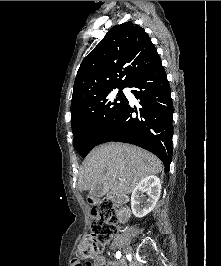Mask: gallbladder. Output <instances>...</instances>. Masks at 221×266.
<instances>
[{"label": "gallbladder", "mask_w": 221, "mask_h": 266, "mask_svg": "<svg viewBox=\"0 0 221 266\" xmlns=\"http://www.w3.org/2000/svg\"><path fill=\"white\" fill-rule=\"evenodd\" d=\"M105 193L106 192L102 184H98L96 187L89 191L90 196L95 199L102 197Z\"/></svg>", "instance_id": "1"}]
</instances>
